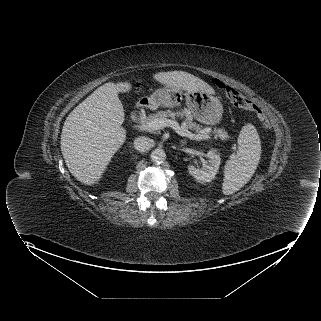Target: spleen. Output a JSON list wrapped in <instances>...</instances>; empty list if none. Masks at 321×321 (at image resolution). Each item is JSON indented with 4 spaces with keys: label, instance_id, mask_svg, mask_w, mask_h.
Instances as JSON below:
<instances>
[{
    "label": "spleen",
    "instance_id": "obj_1",
    "mask_svg": "<svg viewBox=\"0 0 321 321\" xmlns=\"http://www.w3.org/2000/svg\"><path fill=\"white\" fill-rule=\"evenodd\" d=\"M261 156V141L252 124L243 126L238 137V151L225 164L222 191L231 195L253 176Z\"/></svg>",
    "mask_w": 321,
    "mask_h": 321
}]
</instances>
